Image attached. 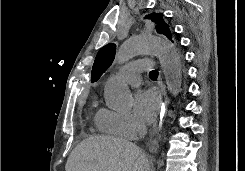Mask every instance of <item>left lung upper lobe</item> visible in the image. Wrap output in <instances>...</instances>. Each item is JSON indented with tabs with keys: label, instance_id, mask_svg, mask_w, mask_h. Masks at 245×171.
<instances>
[{
	"label": "left lung upper lobe",
	"instance_id": "obj_1",
	"mask_svg": "<svg viewBox=\"0 0 245 171\" xmlns=\"http://www.w3.org/2000/svg\"><path fill=\"white\" fill-rule=\"evenodd\" d=\"M151 19L155 23V29L159 34L165 35L172 43H176L174 34L172 33L169 25L164 20L163 13H152L145 17ZM116 53V45L109 43L102 47L95 58L93 69L91 72V81L96 82L101 75L110 67Z\"/></svg>",
	"mask_w": 245,
	"mask_h": 171
}]
</instances>
